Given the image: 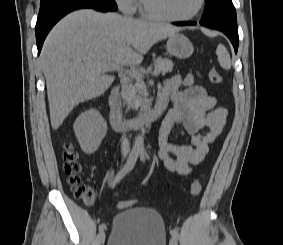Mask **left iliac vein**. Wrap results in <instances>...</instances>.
<instances>
[{"instance_id":"4c4485c4","label":"left iliac vein","mask_w":283,"mask_h":245,"mask_svg":"<svg viewBox=\"0 0 283 245\" xmlns=\"http://www.w3.org/2000/svg\"><path fill=\"white\" fill-rule=\"evenodd\" d=\"M169 245H178V244H177V240L172 237V238L170 239V241H169Z\"/></svg>"}]
</instances>
